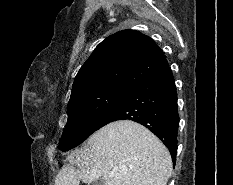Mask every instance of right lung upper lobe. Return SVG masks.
<instances>
[{
  "mask_svg": "<svg viewBox=\"0 0 233 185\" xmlns=\"http://www.w3.org/2000/svg\"><path fill=\"white\" fill-rule=\"evenodd\" d=\"M168 67L154 41L134 30H124L102 41L80 68L71 99L107 87L133 89Z\"/></svg>",
  "mask_w": 233,
  "mask_h": 185,
  "instance_id": "cb5924a9",
  "label": "right lung upper lobe"
}]
</instances>
